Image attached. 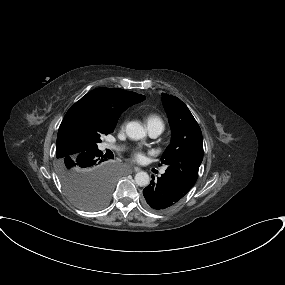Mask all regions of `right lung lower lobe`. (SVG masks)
<instances>
[{
  "label": "right lung lower lobe",
  "mask_w": 285,
  "mask_h": 285,
  "mask_svg": "<svg viewBox=\"0 0 285 285\" xmlns=\"http://www.w3.org/2000/svg\"><path fill=\"white\" fill-rule=\"evenodd\" d=\"M77 160L83 167L92 171H107V169L104 168V161L107 159L102 156V152L99 150H86L80 152L77 155Z\"/></svg>",
  "instance_id": "1"
}]
</instances>
